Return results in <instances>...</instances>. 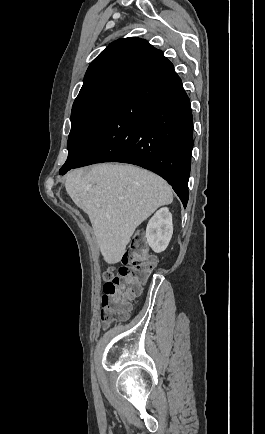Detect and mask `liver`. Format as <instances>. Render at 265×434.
<instances>
[{
    "instance_id": "1",
    "label": "liver",
    "mask_w": 265,
    "mask_h": 434,
    "mask_svg": "<svg viewBox=\"0 0 265 434\" xmlns=\"http://www.w3.org/2000/svg\"><path fill=\"white\" fill-rule=\"evenodd\" d=\"M65 188L74 204L88 214L103 260L118 264L137 226L160 206L173 202L162 178L121 164H98L72 170Z\"/></svg>"
}]
</instances>
